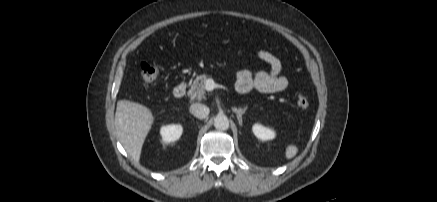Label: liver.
<instances>
[{"instance_id":"1","label":"liver","mask_w":437,"mask_h":202,"mask_svg":"<svg viewBox=\"0 0 437 202\" xmlns=\"http://www.w3.org/2000/svg\"><path fill=\"white\" fill-rule=\"evenodd\" d=\"M114 123L119 141L134 161L139 162L142 146L154 123L151 110L136 102L119 100Z\"/></svg>"}]
</instances>
